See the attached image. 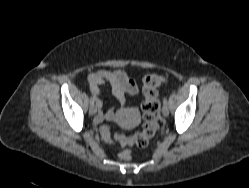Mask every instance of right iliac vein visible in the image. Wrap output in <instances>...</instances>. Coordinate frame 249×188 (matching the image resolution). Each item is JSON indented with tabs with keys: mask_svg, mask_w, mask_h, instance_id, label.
Wrapping results in <instances>:
<instances>
[{
	"mask_svg": "<svg viewBox=\"0 0 249 188\" xmlns=\"http://www.w3.org/2000/svg\"><path fill=\"white\" fill-rule=\"evenodd\" d=\"M96 112H97V107H96V105L93 103V104L90 105L89 114L93 116V115L96 114Z\"/></svg>",
	"mask_w": 249,
	"mask_h": 188,
	"instance_id": "1",
	"label": "right iliac vein"
}]
</instances>
